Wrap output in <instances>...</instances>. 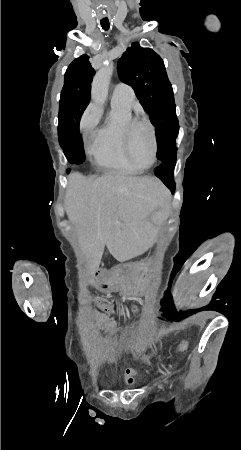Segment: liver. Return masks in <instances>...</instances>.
Returning <instances> with one entry per match:
<instances>
[{
    "instance_id": "liver-1",
    "label": "liver",
    "mask_w": 241,
    "mask_h": 450,
    "mask_svg": "<svg viewBox=\"0 0 241 450\" xmlns=\"http://www.w3.org/2000/svg\"><path fill=\"white\" fill-rule=\"evenodd\" d=\"M168 190L158 178H136L121 172H106L101 178L68 176L66 214L77 228L86 272H97L104 248L115 256L121 244V228L139 224L151 228L154 210L165 204Z\"/></svg>"
}]
</instances>
